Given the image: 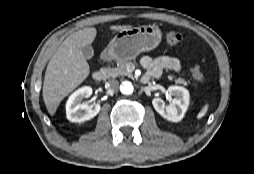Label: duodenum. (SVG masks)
I'll return each instance as SVG.
<instances>
[{"label": "duodenum", "mask_w": 254, "mask_h": 174, "mask_svg": "<svg viewBox=\"0 0 254 174\" xmlns=\"http://www.w3.org/2000/svg\"><path fill=\"white\" fill-rule=\"evenodd\" d=\"M92 78L96 82H101L105 78V73L103 71H95L92 75ZM142 80L144 83H147V82H149L150 78H145V79L142 78Z\"/></svg>", "instance_id": "obj_1"}]
</instances>
